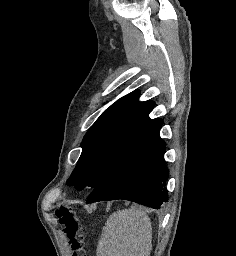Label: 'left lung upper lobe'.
Returning a JSON list of instances; mask_svg holds the SVG:
<instances>
[{"instance_id": "1", "label": "left lung upper lobe", "mask_w": 236, "mask_h": 256, "mask_svg": "<svg viewBox=\"0 0 236 256\" xmlns=\"http://www.w3.org/2000/svg\"><path fill=\"white\" fill-rule=\"evenodd\" d=\"M138 97L139 92L134 91L99 116L83 138L82 153L68 186L95 188L111 171L129 141L150 119L154 102H139Z\"/></svg>"}]
</instances>
